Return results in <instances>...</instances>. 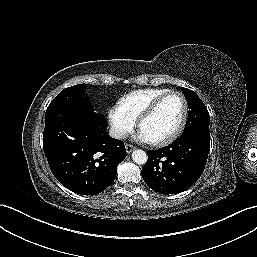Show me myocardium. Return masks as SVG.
I'll list each match as a JSON object with an SVG mask.
<instances>
[{"mask_svg":"<svg viewBox=\"0 0 257 257\" xmlns=\"http://www.w3.org/2000/svg\"><path fill=\"white\" fill-rule=\"evenodd\" d=\"M171 95H178L182 99V102H183L182 118H181L177 128L175 129V131L172 134H170L166 138H163V139H160L157 141H150V143L152 145L157 146V147L166 146V145L174 142L182 133V131L186 125V122L188 119V114H189V105H188V101H187L185 95L180 91H175V90L169 91V92L163 94L162 96L158 97L156 100H154L137 119V127L140 130L142 123L145 120H147L148 118H150L155 113V111L158 109V107L162 104V102Z\"/></svg>","mask_w":257,"mask_h":257,"instance_id":"1","label":"myocardium"}]
</instances>
